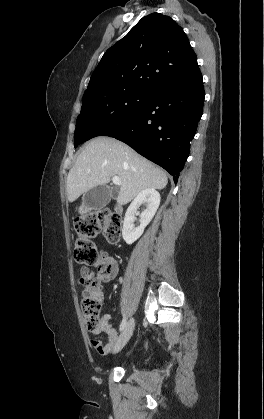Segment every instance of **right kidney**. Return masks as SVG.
Segmentation results:
<instances>
[{"label": "right kidney", "instance_id": "1", "mask_svg": "<svg viewBox=\"0 0 264 419\" xmlns=\"http://www.w3.org/2000/svg\"><path fill=\"white\" fill-rule=\"evenodd\" d=\"M146 209L140 215V226L134 227L135 215L141 205ZM160 205V194L155 189L149 188L141 191L128 207L122 229V236L127 244L134 243L143 234L145 227L151 222Z\"/></svg>", "mask_w": 264, "mask_h": 419}]
</instances>
